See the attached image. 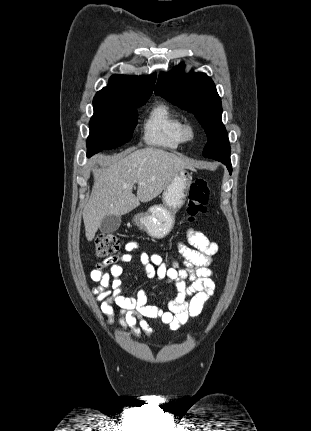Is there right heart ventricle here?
I'll return each instance as SVG.
<instances>
[{"mask_svg": "<svg viewBox=\"0 0 311 431\" xmlns=\"http://www.w3.org/2000/svg\"><path fill=\"white\" fill-rule=\"evenodd\" d=\"M185 119L169 103L162 102L150 109L142 130L143 141L150 147L177 150L187 140L182 133Z\"/></svg>", "mask_w": 311, "mask_h": 431, "instance_id": "right-heart-ventricle-1", "label": "right heart ventricle"}]
</instances>
